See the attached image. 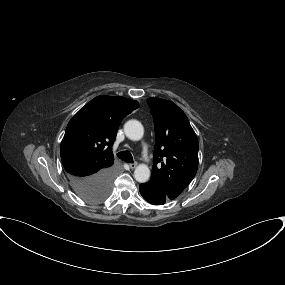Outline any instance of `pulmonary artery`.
I'll return each instance as SVG.
<instances>
[{
  "label": "pulmonary artery",
  "mask_w": 285,
  "mask_h": 285,
  "mask_svg": "<svg viewBox=\"0 0 285 285\" xmlns=\"http://www.w3.org/2000/svg\"><path fill=\"white\" fill-rule=\"evenodd\" d=\"M141 155H142L143 160L146 163H149V161H150V154H149L148 146H143L142 151H141Z\"/></svg>",
  "instance_id": "e3ab8cb5"
}]
</instances>
